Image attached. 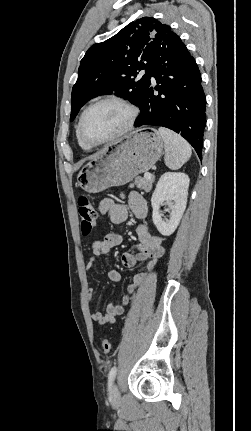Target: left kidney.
<instances>
[{
	"mask_svg": "<svg viewBox=\"0 0 251 431\" xmlns=\"http://www.w3.org/2000/svg\"><path fill=\"white\" fill-rule=\"evenodd\" d=\"M189 182L190 179L185 173L166 172L156 185L151 199L152 219L157 230L164 236L173 234L179 225L187 204ZM164 202L169 204L171 209L168 220H163L160 214V206Z\"/></svg>",
	"mask_w": 251,
	"mask_h": 431,
	"instance_id": "5707ae66",
	"label": "left kidney"
}]
</instances>
